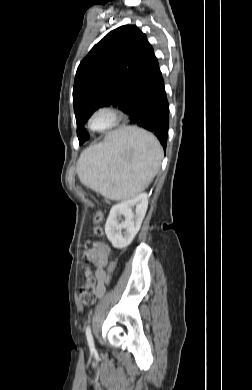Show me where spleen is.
Listing matches in <instances>:
<instances>
[{
  "instance_id": "3e777b00",
  "label": "spleen",
  "mask_w": 252,
  "mask_h": 390,
  "mask_svg": "<svg viewBox=\"0 0 252 390\" xmlns=\"http://www.w3.org/2000/svg\"><path fill=\"white\" fill-rule=\"evenodd\" d=\"M163 150L151 133L125 127L86 149L77 173L85 186L115 201L135 197L148 187L160 167Z\"/></svg>"
}]
</instances>
